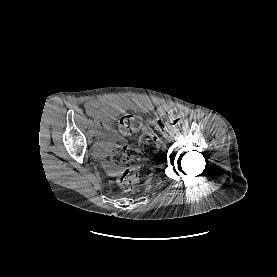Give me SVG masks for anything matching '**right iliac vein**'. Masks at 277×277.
I'll return each mask as SVG.
<instances>
[{"mask_svg":"<svg viewBox=\"0 0 277 277\" xmlns=\"http://www.w3.org/2000/svg\"><path fill=\"white\" fill-rule=\"evenodd\" d=\"M95 137L98 138V137H99V134H98V133H95Z\"/></svg>","mask_w":277,"mask_h":277,"instance_id":"63e3f726","label":"right iliac vein"}]
</instances>
